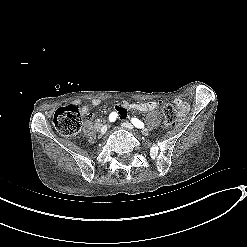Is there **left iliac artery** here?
Returning a JSON list of instances; mask_svg holds the SVG:
<instances>
[{"label":"left iliac artery","mask_w":247,"mask_h":247,"mask_svg":"<svg viewBox=\"0 0 247 247\" xmlns=\"http://www.w3.org/2000/svg\"><path fill=\"white\" fill-rule=\"evenodd\" d=\"M131 122L136 128H144V123L137 118H132Z\"/></svg>","instance_id":"obj_1"}]
</instances>
